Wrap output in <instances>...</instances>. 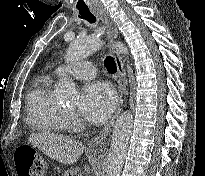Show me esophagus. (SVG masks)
<instances>
[{
	"label": "esophagus",
	"mask_w": 205,
	"mask_h": 176,
	"mask_svg": "<svg viewBox=\"0 0 205 176\" xmlns=\"http://www.w3.org/2000/svg\"><path fill=\"white\" fill-rule=\"evenodd\" d=\"M93 13L100 19L102 22L105 24L107 28V37L109 39V47L110 51L114 57V61L117 67V86H118V97H119V102H118V107L111 119V121L97 134L95 137H93L89 142H88V147L94 148V147H99L103 146L106 142L107 136L111 132V129L119 116L124 101L126 99V95L128 93L126 89V71L122 62V59L119 55L118 50L116 49L114 45V41L118 37V31L116 28L115 23L110 19L109 14L105 7L103 6H98L93 9Z\"/></svg>",
	"instance_id": "34e87169"
}]
</instances>
